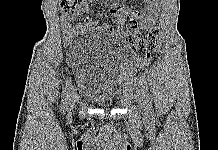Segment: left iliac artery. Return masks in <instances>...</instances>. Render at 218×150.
I'll return each instance as SVG.
<instances>
[{
    "instance_id": "1",
    "label": "left iliac artery",
    "mask_w": 218,
    "mask_h": 150,
    "mask_svg": "<svg viewBox=\"0 0 218 150\" xmlns=\"http://www.w3.org/2000/svg\"><path fill=\"white\" fill-rule=\"evenodd\" d=\"M140 85H141V92L146 100V105H147V108H148V112L150 113L151 116L154 115V111H153V108H152V102H151V98H150V95H149V91H148V85H147V82L145 79H143L141 82H140Z\"/></svg>"
}]
</instances>
